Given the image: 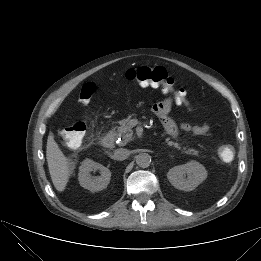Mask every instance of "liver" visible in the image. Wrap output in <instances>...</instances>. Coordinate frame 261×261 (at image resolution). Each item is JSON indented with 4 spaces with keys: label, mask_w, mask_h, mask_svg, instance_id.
I'll use <instances>...</instances> for the list:
<instances>
[{
    "label": "liver",
    "mask_w": 261,
    "mask_h": 261,
    "mask_svg": "<svg viewBox=\"0 0 261 261\" xmlns=\"http://www.w3.org/2000/svg\"><path fill=\"white\" fill-rule=\"evenodd\" d=\"M46 159L54 187L59 192L64 191L71 173L70 162L54 140L53 134H49L47 139Z\"/></svg>",
    "instance_id": "6515ba94"
}]
</instances>
